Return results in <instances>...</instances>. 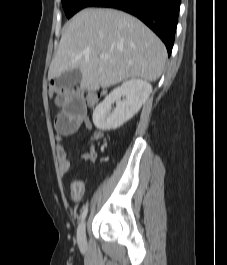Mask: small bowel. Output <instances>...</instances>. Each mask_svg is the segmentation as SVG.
<instances>
[{
    "instance_id": "1",
    "label": "small bowel",
    "mask_w": 227,
    "mask_h": 265,
    "mask_svg": "<svg viewBox=\"0 0 227 265\" xmlns=\"http://www.w3.org/2000/svg\"><path fill=\"white\" fill-rule=\"evenodd\" d=\"M61 96H55L56 104H62V111L55 118V129L58 138L61 139L70 136L78 131L81 125L88 129H93V125L87 116V105L85 96H81L82 92L77 91V87H59ZM103 137L100 130H93L89 138V148L85 151L81 158L84 161L93 162L97 158L94 143ZM58 158L60 171L63 176L71 170V161L63 147L59 148ZM71 198L75 202H79L85 194V183L80 179H75L70 184Z\"/></svg>"
}]
</instances>
